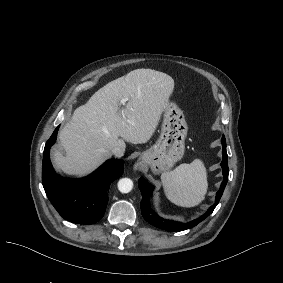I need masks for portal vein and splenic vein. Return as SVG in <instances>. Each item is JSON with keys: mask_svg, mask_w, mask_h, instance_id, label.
I'll return each instance as SVG.
<instances>
[{"mask_svg": "<svg viewBox=\"0 0 283 283\" xmlns=\"http://www.w3.org/2000/svg\"><path fill=\"white\" fill-rule=\"evenodd\" d=\"M128 101V98H122L121 100H120V103L122 104V105H125V103Z\"/></svg>", "mask_w": 283, "mask_h": 283, "instance_id": "18ae733b", "label": "portal vein and splenic vein"}]
</instances>
